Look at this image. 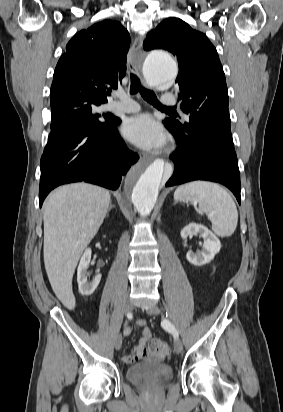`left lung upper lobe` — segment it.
Segmentation results:
<instances>
[{"mask_svg":"<svg viewBox=\"0 0 283 412\" xmlns=\"http://www.w3.org/2000/svg\"><path fill=\"white\" fill-rule=\"evenodd\" d=\"M143 48L168 50L178 58V97L182 100V110L189 115V122L181 124L167 118L164 123L176 129L196 131L210 147L236 154L225 75L217 51L207 37L184 21L169 18L147 34Z\"/></svg>","mask_w":283,"mask_h":412,"instance_id":"1","label":"left lung upper lobe"}]
</instances>
